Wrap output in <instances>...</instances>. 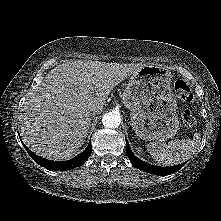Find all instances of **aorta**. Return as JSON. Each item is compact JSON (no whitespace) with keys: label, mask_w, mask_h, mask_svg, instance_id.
Segmentation results:
<instances>
[{"label":"aorta","mask_w":221,"mask_h":221,"mask_svg":"<svg viewBox=\"0 0 221 221\" xmlns=\"http://www.w3.org/2000/svg\"><path fill=\"white\" fill-rule=\"evenodd\" d=\"M102 123L106 128H117L121 123L120 114L116 111L108 112L102 117Z\"/></svg>","instance_id":"obj_1"}]
</instances>
